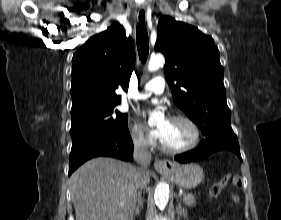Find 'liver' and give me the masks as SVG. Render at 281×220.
Masks as SVG:
<instances>
[{
	"label": "liver",
	"instance_id": "1",
	"mask_svg": "<svg viewBox=\"0 0 281 220\" xmlns=\"http://www.w3.org/2000/svg\"><path fill=\"white\" fill-rule=\"evenodd\" d=\"M137 190V168L113 158L91 159L70 177L76 220H133Z\"/></svg>",
	"mask_w": 281,
	"mask_h": 220
}]
</instances>
